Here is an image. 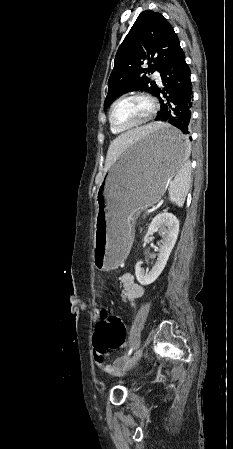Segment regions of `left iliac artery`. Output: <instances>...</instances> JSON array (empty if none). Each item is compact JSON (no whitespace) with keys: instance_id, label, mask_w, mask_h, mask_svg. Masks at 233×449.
I'll list each match as a JSON object with an SVG mask.
<instances>
[{"instance_id":"1","label":"left iliac artery","mask_w":233,"mask_h":449,"mask_svg":"<svg viewBox=\"0 0 233 449\" xmlns=\"http://www.w3.org/2000/svg\"><path fill=\"white\" fill-rule=\"evenodd\" d=\"M133 350H134V347H131V348L129 349L126 358H128V357L132 354Z\"/></svg>"}]
</instances>
